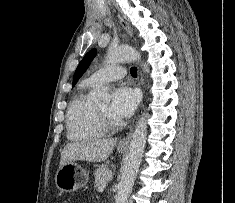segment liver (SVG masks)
<instances>
[{"mask_svg": "<svg viewBox=\"0 0 235 203\" xmlns=\"http://www.w3.org/2000/svg\"><path fill=\"white\" fill-rule=\"evenodd\" d=\"M116 139H92L67 144L61 152L60 167L75 161L101 162L112 153Z\"/></svg>", "mask_w": 235, "mask_h": 203, "instance_id": "liver-1", "label": "liver"}]
</instances>
